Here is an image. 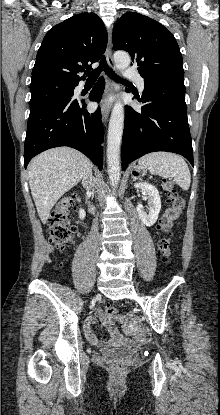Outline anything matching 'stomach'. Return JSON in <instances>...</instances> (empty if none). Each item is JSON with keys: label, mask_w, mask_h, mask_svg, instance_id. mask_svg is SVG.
<instances>
[{"label": "stomach", "mask_w": 220, "mask_h": 415, "mask_svg": "<svg viewBox=\"0 0 220 415\" xmlns=\"http://www.w3.org/2000/svg\"><path fill=\"white\" fill-rule=\"evenodd\" d=\"M135 169H136L137 171H139V167H135Z\"/></svg>", "instance_id": "0dacf381"}]
</instances>
